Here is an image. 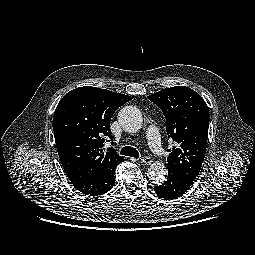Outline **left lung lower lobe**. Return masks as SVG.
I'll return each instance as SVG.
<instances>
[{
  "label": "left lung lower lobe",
  "mask_w": 255,
  "mask_h": 255,
  "mask_svg": "<svg viewBox=\"0 0 255 255\" xmlns=\"http://www.w3.org/2000/svg\"><path fill=\"white\" fill-rule=\"evenodd\" d=\"M193 180L178 173L168 170L167 180L154 190L158 196L165 199H176L183 195L192 185Z\"/></svg>",
  "instance_id": "0a47b994"
}]
</instances>
